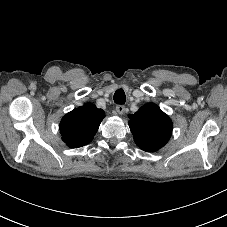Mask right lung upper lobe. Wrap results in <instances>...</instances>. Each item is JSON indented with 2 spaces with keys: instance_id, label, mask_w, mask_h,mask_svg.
<instances>
[{
  "instance_id": "1",
  "label": "right lung upper lobe",
  "mask_w": 227,
  "mask_h": 227,
  "mask_svg": "<svg viewBox=\"0 0 227 227\" xmlns=\"http://www.w3.org/2000/svg\"><path fill=\"white\" fill-rule=\"evenodd\" d=\"M104 111L94 104L87 103L67 113L60 122L62 140L71 148H78L91 142Z\"/></svg>"
}]
</instances>
